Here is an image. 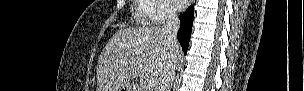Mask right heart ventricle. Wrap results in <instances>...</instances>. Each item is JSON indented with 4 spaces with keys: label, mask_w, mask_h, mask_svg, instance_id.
Returning <instances> with one entry per match:
<instances>
[{
    "label": "right heart ventricle",
    "mask_w": 304,
    "mask_h": 91,
    "mask_svg": "<svg viewBox=\"0 0 304 91\" xmlns=\"http://www.w3.org/2000/svg\"><path fill=\"white\" fill-rule=\"evenodd\" d=\"M140 2H141V1H140ZM145 8H146V7H145L144 5H140L139 11H140V12H144V11H145Z\"/></svg>",
    "instance_id": "e07e8e85"
}]
</instances>
